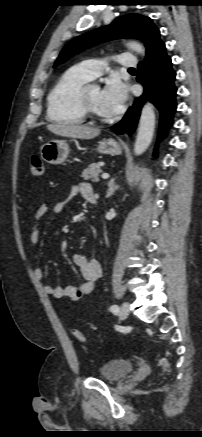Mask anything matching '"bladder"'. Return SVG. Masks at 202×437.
Instances as JSON below:
<instances>
[{
    "label": "bladder",
    "mask_w": 202,
    "mask_h": 437,
    "mask_svg": "<svg viewBox=\"0 0 202 437\" xmlns=\"http://www.w3.org/2000/svg\"><path fill=\"white\" fill-rule=\"evenodd\" d=\"M134 369V363L128 359H112L99 368V376L107 381H118Z\"/></svg>",
    "instance_id": "31cf9c89"
}]
</instances>
